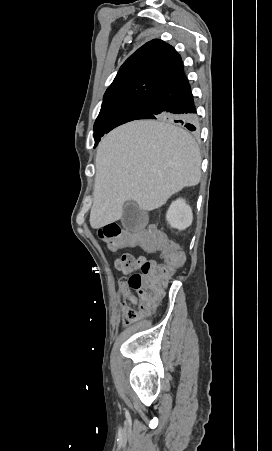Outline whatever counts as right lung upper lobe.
Masks as SVG:
<instances>
[{"instance_id":"obj_1","label":"right lung upper lobe","mask_w":272,"mask_h":451,"mask_svg":"<svg viewBox=\"0 0 272 451\" xmlns=\"http://www.w3.org/2000/svg\"><path fill=\"white\" fill-rule=\"evenodd\" d=\"M183 70L180 55L169 44L154 39L133 53L105 92L103 103L151 97Z\"/></svg>"}]
</instances>
